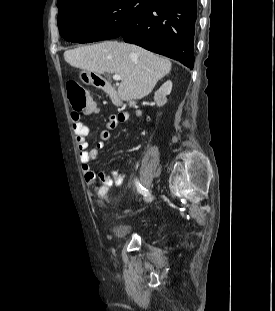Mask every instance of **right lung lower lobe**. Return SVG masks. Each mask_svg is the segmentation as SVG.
Masks as SVG:
<instances>
[{
    "instance_id": "1",
    "label": "right lung lower lobe",
    "mask_w": 275,
    "mask_h": 311,
    "mask_svg": "<svg viewBox=\"0 0 275 311\" xmlns=\"http://www.w3.org/2000/svg\"><path fill=\"white\" fill-rule=\"evenodd\" d=\"M197 0H158L121 32L124 41L193 69Z\"/></svg>"
}]
</instances>
